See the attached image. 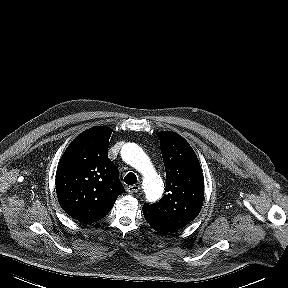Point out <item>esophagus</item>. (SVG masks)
<instances>
[{
    "mask_svg": "<svg viewBox=\"0 0 288 288\" xmlns=\"http://www.w3.org/2000/svg\"><path fill=\"white\" fill-rule=\"evenodd\" d=\"M140 190V186L139 185H130L126 188V191L129 194H133V193H137Z\"/></svg>",
    "mask_w": 288,
    "mask_h": 288,
    "instance_id": "34e87169",
    "label": "esophagus"
}]
</instances>
